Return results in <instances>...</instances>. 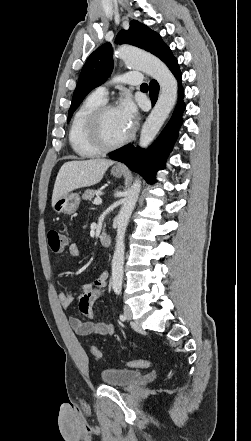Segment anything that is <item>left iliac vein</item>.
<instances>
[{
	"label": "left iliac vein",
	"instance_id": "4c4485c4",
	"mask_svg": "<svg viewBox=\"0 0 251 441\" xmlns=\"http://www.w3.org/2000/svg\"><path fill=\"white\" fill-rule=\"evenodd\" d=\"M124 315H125L126 319L132 320V311L129 306L124 307Z\"/></svg>",
	"mask_w": 251,
	"mask_h": 441
}]
</instances>
